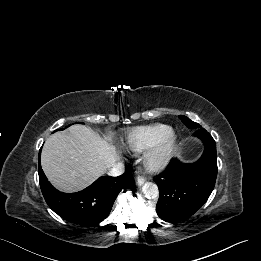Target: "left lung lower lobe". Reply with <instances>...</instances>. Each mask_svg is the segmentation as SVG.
I'll use <instances>...</instances> for the list:
<instances>
[{"label":"left lung lower lobe","mask_w":261,"mask_h":261,"mask_svg":"<svg viewBox=\"0 0 261 261\" xmlns=\"http://www.w3.org/2000/svg\"><path fill=\"white\" fill-rule=\"evenodd\" d=\"M205 149L192 164L172 159L168 168L154 179L159 188L158 216L173 222L193 215L209 198L217 176L216 143L203 128L194 133Z\"/></svg>","instance_id":"left-lung-lower-lobe-1"}]
</instances>
